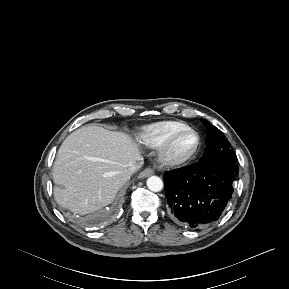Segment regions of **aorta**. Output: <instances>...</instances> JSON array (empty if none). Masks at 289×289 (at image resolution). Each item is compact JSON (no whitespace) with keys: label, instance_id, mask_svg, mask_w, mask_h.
Here are the masks:
<instances>
[{"label":"aorta","instance_id":"obj_1","mask_svg":"<svg viewBox=\"0 0 289 289\" xmlns=\"http://www.w3.org/2000/svg\"><path fill=\"white\" fill-rule=\"evenodd\" d=\"M147 187L153 192H159L163 188V181L158 176H151L147 179Z\"/></svg>","mask_w":289,"mask_h":289}]
</instances>
